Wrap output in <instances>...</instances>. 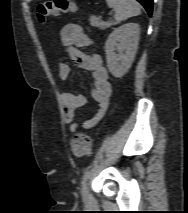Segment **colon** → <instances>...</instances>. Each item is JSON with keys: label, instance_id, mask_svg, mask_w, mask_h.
<instances>
[{"label": "colon", "instance_id": "obj_1", "mask_svg": "<svg viewBox=\"0 0 188 213\" xmlns=\"http://www.w3.org/2000/svg\"><path fill=\"white\" fill-rule=\"evenodd\" d=\"M78 10L73 0H42L37 6V17L44 22L51 16L58 15L62 12H75ZM91 148V138L87 134H77L72 138L71 150L75 157L87 155Z\"/></svg>", "mask_w": 188, "mask_h": 213}]
</instances>
